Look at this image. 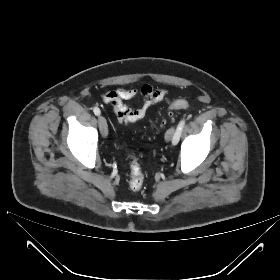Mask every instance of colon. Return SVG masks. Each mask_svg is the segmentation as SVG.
Instances as JSON below:
<instances>
[{"label": "colon", "instance_id": "colon-1", "mask_svg": "<svg viewBox=\"0 0 280 280\" xmlns=\"http://www.w3.org/2000/svg\"><path fill=\"white\" fill-rule=\"evenodd\" d=\"M189 103L186 100H176L170 105V110H182L187 109ZM131 177L129 180V186L132 191H139L143 187L144 176L139 163L134 160L130 165Z\"/></svg>", "mask_w": 280, "mask_h": 280}]
</instances>
